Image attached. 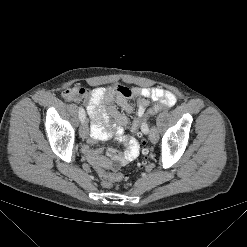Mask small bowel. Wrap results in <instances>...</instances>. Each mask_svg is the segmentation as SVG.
Listing matches in <instances>:
<instances>
[{"instance_id": "obj_1", "label": "small bowel", "mask_w": 247, "mask_h": 247, "mask_svg": "<svg viewBox=\"0 0 247 247\" xmlns=\"http://www.w3.org/2000/svg\"><path fill=\"white\" fill-rule=\"evenodd\" d=\"M62 97L68 102L86 101V110L91 119V135L83 153L88 162L98 171L100 169L116 170L134 160L140 151L136 138L125 133L128 125L127 114L136 111L137 117L147 110L150 100L173 106L176 103L175 95L162 88L130 89L128 96L122 95L117 88L95 87L88 89L83 86H74L62 92ZM130 101L136 102V108ZM113 122H110V119ZM125 146L123 153L115 149L108 151L104 157L101 151L93 148L98 141H106L112 137Z\"/></svg>"}]
</instances>
